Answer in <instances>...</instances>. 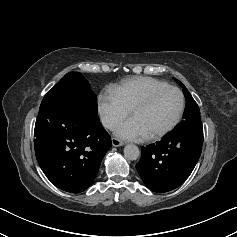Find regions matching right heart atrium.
<instances>
[{"mask_svg": "<svg viewBox=\"0 0 237 237\" xmlns=\"http://www.w3.org/2000/svg\"><path fill=\"white\" fill-rule=\"evenodd\" d=\"M98 112L101 122L106 129H114L128 115V110L110 89L99 94Z\"/></svg>", "mask_w": 237, "mask_h": 237, "instance_id": "d8ad5b80", "label": "right heart atrium"}]
</instances>
